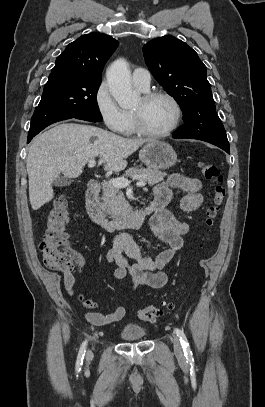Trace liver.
Returning <instances> with one entry per match:
<instances>
[{
	"label": "liver",
	"mask_w": 265,
	"mask_h": 407,
	"mask_svg": "<svg viewBox=\"0 0 265 407\" xmlns=\"http://www.w3.org/2000/svg\"><path fill=\"white\" fill-rule=\"evenodd\" d=\"M150 139H129L92 125L64 123L38 135L26 158L29 199L33 210L54 197L52 183L63 174L77 178L84 166L99 156L106 171H121L126 158Z\"/></svg>",
	"instance_id": "obj_1"
}]
</instances>
